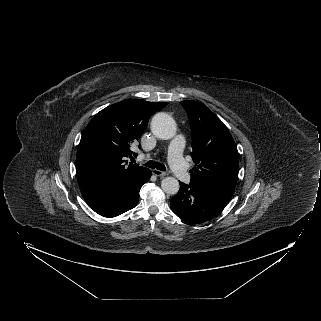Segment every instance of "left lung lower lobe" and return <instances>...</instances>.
Returning a JSON list of instances; mask_svg holds the SVG:
<instances>
[{
	"instance_id": "obj_1",
	"label": "left lung lower lobe",
	"mask_w": 321,
	"mask_h": 321,
	"mask_svg": "<svg viewBox=\"0 0 321 321\" xmlns=\"http://www.w3.org/2000/svg\"><path fill=\"white\" fill-rule=\"evenodd\" d=\"M180 183L171 199L172 211L184 221L198 224L217 216L230 201L235 187L211 183Z\"/></svg>"
}]
</instances>
